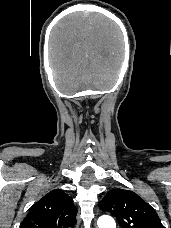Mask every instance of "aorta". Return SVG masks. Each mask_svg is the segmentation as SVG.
<instances>
[{
	"label": "aorta",
	"mask_w": 171,
	"mask_h": 228,
	"mask_svg": "<svg viewBox=\"0 0 171 228\" xmlns=\"http://www.w3.org/2000/svg\"><path fill=\"white\" fill-rule=\"evenodd\" d=\"M98 228H116V223L110 216H101L98 220Z\"/></svg>",
	"instance_id": "aorta-1"
}]
</instances>
